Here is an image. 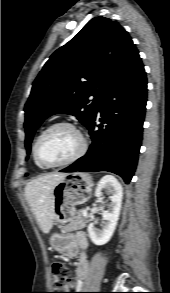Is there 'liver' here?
<instances>
[{
	"instance_id": "obj_1",
	"label": "liver",
	"mask_w": 170,
	"mask_h": 293,
	"mask_svg": "<svg viewBox=\"0 0 170 293\" xmlns=\"http://www.w3.org/2000/svg\"><path fill=\"white\" fill-rule=\"evenodd\" d=\"M66 175L49 173L31 180L25 187L26 199L44 233H49L54 222L53 190Z\"/></svg>"
}]
</instances>
